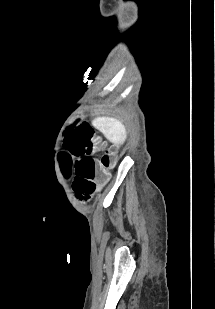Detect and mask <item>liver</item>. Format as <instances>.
<instances>
[{
	"mask_svg": "<svg viewBox=\"0 0 215 309\" xmlns=\"http://www.w3.org/2000/svg\"><path fill=\"white\" fill-rule=\"evenodd\" d=\"M93 124L114 144H123L127 138L126 126L117 118H95Z\"/></svg>",
	"mask_w": 215,
	"mask_h": 309,
	"instance_id": "1",
	"label": "liver"
}]
</instances>
